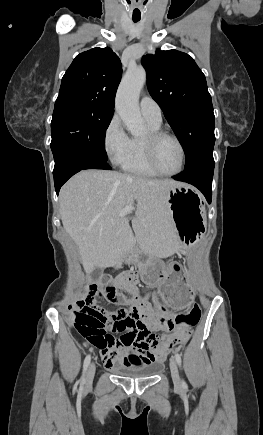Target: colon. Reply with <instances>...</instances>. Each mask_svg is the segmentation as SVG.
<instances>
[{"label":"colon","mask_w":263,"mask_h":435,"mask_svg":"<svg viewBox=\"0 0 263 435\" xmlns=\"http://www.w3.org/2000/svg\"><path fill=\"white\" fill-rule=\"evenodd\" d=\"M101 284L106 290L108 300H117L121 296L113 287L112 280L105 276L101 279ZM201 316V308L194 304L184 312L177 313L174 321H190L192 327L195 326ZM76 328L78 332L89 342L94 344L96 350H165L167 339L157 337L148 328H125L124 333H120L117 338L106 333V323L101 312H76ZM177 341L183 344L190 336V330H183L182 333L175 332Z\"/></svg>","instance_id":"obj_1"}]
</instances>
